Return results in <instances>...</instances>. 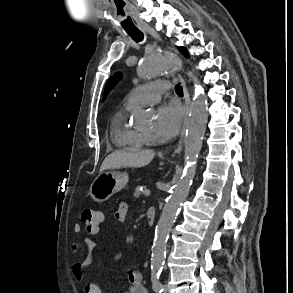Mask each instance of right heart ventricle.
<instances>
[{
    "instance_id": "1",
    "label": "right heart ventricle",
    "mask_w": 293,
    "mask_h": 293,
    "mask_svg": "<svg viewBox=\"0 0 293 293\" xmlns=\"http://www.w3.org/2000/svg\"><path fill=\"white\" fill-rule=\"evenodd\" d=\"M131 108L119 111L113 118L111 136L114 143L123 149H140L149 144V138L140 131L131 128L126 121V112Z\"/></svg>"
}]
</instances>
